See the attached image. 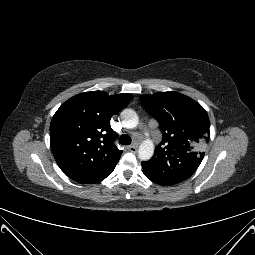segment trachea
I'll list each match as a JSON object with an SVG mask.
<instances>
[{
	"label": "trachea",
	"instance_id": "3493384b",
	"mask_svg": "<svg viewBox=\"0 0 255 255\" xmlns=\"http://www.w3.org/2000/svg\"><path fill=\"white\" fill-rule=\"evenodd\" d=\"M131 141V137L128 134H122L119 138V143L123 145H130Z\"/></svg>",
	"mask_w": 255,
	"mask_h": 255
}]
</instances>
